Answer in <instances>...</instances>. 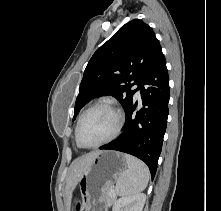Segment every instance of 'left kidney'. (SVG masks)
I'll list each match as a JSON object with an SVG mask.
<instances>
[{"label":"left kidney","instance_id":"obj_1","mask_svg":"<svg viewBox=\"0 0 221 211\" xmlns=\"http://www.w3.org/2000/svg\"><path fill=\"white\" fill-rule=\"evenodd\" d=\"M145 200L143 193L122 197L114 203L112 211H142Z\"/></svg>","mask_w":221,"mask_h":211}]
</instances>
